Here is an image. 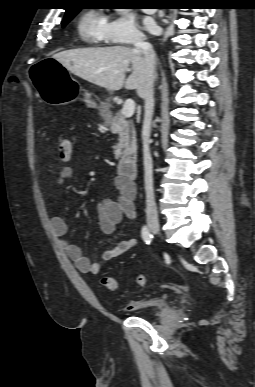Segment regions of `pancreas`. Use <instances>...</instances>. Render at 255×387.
<instances>
[{"label":"pancreas","instance_id":"cf45deb5","mask_svg":"<svg viewBox=\"0 0 255 387\" xmlns=\"http://www.w3.org/2000/svg\"><path fill=\"white\" fill-rule=\"evenodd\" d=\"M104 119V124L110 127L111 132L118 134V142L113 147L115 159L136 154V131L133 121L127 120L122 113H116L114 116L104 115Z\"/></svg>","mask_w":255,"mask_h":387}]
</instances>
